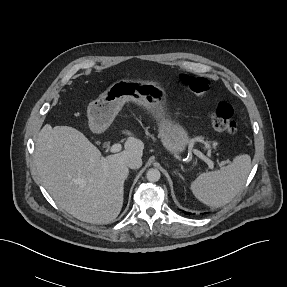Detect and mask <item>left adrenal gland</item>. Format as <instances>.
<instances>
[{
    "mask_svg": "<svg viewBox=\"0 0 287 287\" xmlns=\"http://www.w3.org/2000/svg\"><path fill=\"white\" fill-rule=\"evenodd\" d=\"M179 177L183 179L182 175L180 173H178Z\"/></svg>",
    "mask_w": 287,
    "mask_h": 287,
    "instance_id": "obj_1",
    "label": "left adrenal gland"
}]
</instances>
